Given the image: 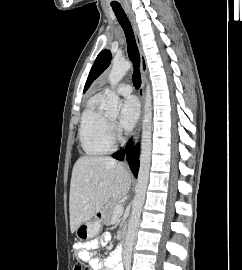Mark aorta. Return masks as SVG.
I'll list each match as a JSON object with an SVG mask.
<instances>
[{
	"instance_id": "1",
	"label": "aorta",
	"mask_w": 242,
	"mask_h": 270,
	"mask_svg": "<svg viewBox=\"0 0 242 270\" xmlns=\"http://www.w3.org/2000/svg\"><path fill=\"white\" fill-rule=\"evenodd\" d=\"M131 67L132 63L130 61H120L113 63L112 69L108 76V80L112 87V91L109 92L107 102L103 105V108L106 111V113L111 115L118 114L119 97L113 89L126 75V73ZM151 131H152V97L150 86L148 85L146 88L144 117L142 124L141 154H140V166L138 171V182L136 186V195L133 201L131 217L128 224V231L125 239V247H124L125 259H130L131 257L134 240L137 235L140 215L145 200V194L149 179L150 160H151Z\"/></svg>"
}]
</instances>
